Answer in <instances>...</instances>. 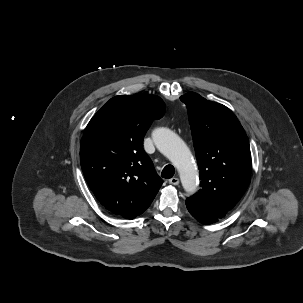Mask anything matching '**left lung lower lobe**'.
I'll use <instances>...</instances> for the list:
<instances>
[{
	"label": "left lung lower lobe",
	"mask_w": 303,
	"mask_h": 303,
	"mask_svg": "<svg viewBox=\"0 0 303 303\" xmlns=\"http://www.w3.org/2000/svg\"><path fill=\"white\" fill-rule=\"evenodd\" d=\"M186 206L188 211L190 212V214L200 223L208 225L214 222H217L219 220V218H217L216 216H214L213 214L198 208L192 204H190L189 202L186 201Z\"/></svg>",
	"instance_id": "obj_1"
}]
</instances>
